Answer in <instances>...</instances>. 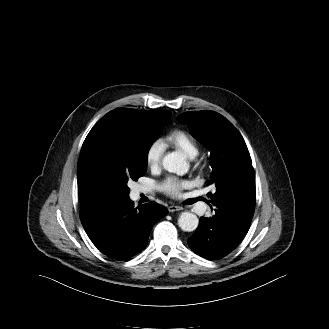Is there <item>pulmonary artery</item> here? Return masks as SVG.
I'll use <instances>...</instances> for the list:
<instances>
[{
	"label": "pulmonary artery",
	"mask_w": 329,
	"mask_h": 329,
	"mask_svg": "<svg viewBox=\"0 0 329 329\" xmlns=\"http://www.w3.org/2000/svg\"><path fill=\"white\" fill-rule=\"evenodd\" d=\"M139 191L142 192V193H146L148 190L145 189V188H139Z\"/></svg>",
	"instance_id": "e3ab8cb5"
}]
</instances>
